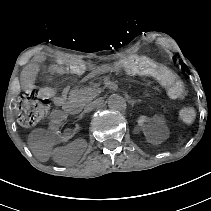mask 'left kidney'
Wrapping results in <instances>:
<instances>
[{
    "label": "left kidney",
    "instance_id": "1",
    "mask_svg": "<svg viewBox=\"0 0 211 211\" xmlns=\"http://www.w3.org/2000/svg\"><path fill=\"white\" fill-rule=\"evenodd\" d=\"M166 123L167 116L164 113H157L154 116V121H147L144 116H139L136 119L135 129L140 134H143L144 132H155L163 129L166 126Z\"/></svg>",
    "mask_w": 211,
    "mask_h": 211
}]
</instances>
